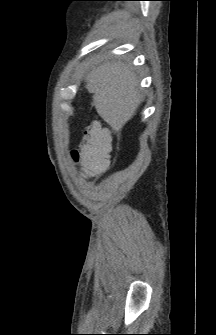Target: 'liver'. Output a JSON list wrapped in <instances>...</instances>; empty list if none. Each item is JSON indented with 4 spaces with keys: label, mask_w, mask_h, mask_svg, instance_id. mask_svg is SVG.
Wrapping results in <instances>:
<instances>
[{
    "label": "liver",
    "mask_w": 216,
    "mask_h": 335,
    "mask_svg": "<svg viewBox=\"0 0 216 335\" xmlns=\"http://www.w3.org/2000/svg\"><path fill=\"white\" fill-rule=\"evenodd\" d=\"M97 113L115 130H121L144 101L133 69L123 62H105L87 76Z\"/></svg>",
    "instance_id": "1"
}]
</instances>
